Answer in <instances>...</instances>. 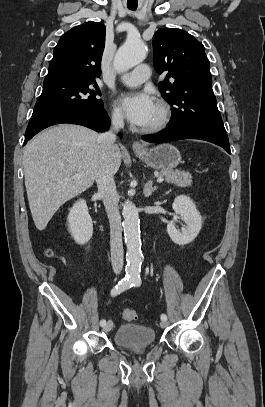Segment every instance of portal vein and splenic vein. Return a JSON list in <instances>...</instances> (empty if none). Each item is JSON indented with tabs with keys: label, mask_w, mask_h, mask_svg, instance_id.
I'll use <instances>...</instances> for the list:
<instances>
[{
	"label": "portal vein and splenic vein",
	"mask_w": 265,
	"mask_h": 407,
	"mask_svg": "<svg viewBox=\"0 0 265 407\" xmlns=\"http://www.w3.org/2000/svg\"><path fill=\"white\" fill-rule=\"evenodd\" d=\"M80 175H76V177H79ZM164 181V178L162 177V176H160V177H158L157 178V182L158 183H161V182H163Z\"/></svg>",
	"instance_id": "18ae733b"
}]
</instances>
